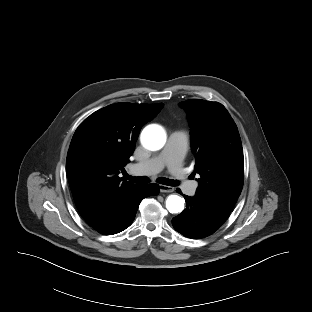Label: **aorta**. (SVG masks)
<instances>
[{
	"instance_id": "aorta-1",
	"label": "aorta",
	"mask_w": 312,
	"mask_h": 312,
	"mask_svg": "<svg viewBox=\"0 0 312 312\" xmlns=\"http://www.w3.org/2000/svg\"><path fill=\"white\" fill-rule=\"evenodd\" d=\"M141 144L149 151L160 150L166 142V133L158 125H149L141 133ZM166 208L170 213H180L184 209V200L178 195H170L166 200Z\"/></svg>"
}]
</instances>
